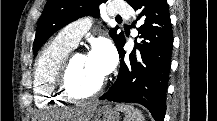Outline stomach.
<instances>
[{"mask_svg":"<svg viewBox=\"0 0 217 121\" xmlns=\"http://www.w3.org/2000/svg\"><path fill=\"white\" fill-rule=\"evenodd\" d=\"M86 121H119V112L109 105H95L88 114Z\"/></svg>","mask_w":217,"mask_h":121,"instance_id":"stomach-1","label":"stomach"}]
</instances>
